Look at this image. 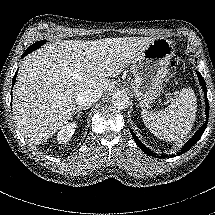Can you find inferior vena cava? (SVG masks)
<instances>
[{
    "label": "inferior vena cava",
    "mask_w": 215,
    "mask_h": 215,
    "mask_svg": "<svg viewBox=\"0 0 215 215\" xmlns=\"http://www.w3.org/2000/svg\"><path fill=\"white\" fill-rule=\"evenodd\" d=\"M102 91L79 92L75 97V103L81 108H87L93 103H96L102 97Z\"/></svg>",
    "instance_id": "602c4592"
}]
</instances>
